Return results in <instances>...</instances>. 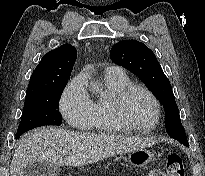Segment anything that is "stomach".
I'll list each match as a JSON object with an SVG mask.
<instances>
[{
	"label": "stomach",
	"instance_id": "1",
	"mask_svg": "<svg viewBox=\"0 0 205 176\" xmlns=\"http://www.w3.org/2000/svg\"><path fill=\"white\" fill-rule=\"evenodd\" d=\"M154 159V153L145 148L137 149L128 156V162L136 168L144 167Z\"/></svg>",
	"mask_w": 205,
	"mask_h": 176
}]
</instances>
